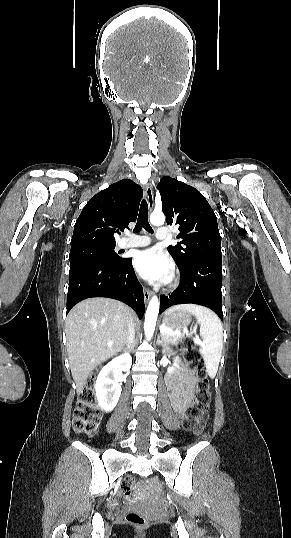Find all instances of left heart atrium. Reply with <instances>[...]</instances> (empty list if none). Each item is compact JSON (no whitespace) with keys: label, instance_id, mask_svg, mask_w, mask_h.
I'll use <instances>...</instances> for the list:
<instances>
[{"label":"left heart atrium","instance_id":"obj_1","mask_svg":"<svg viewBox=\"0 0 291 538\" xmlns=\"http://www.w3.org/2000/svg\"><path fill=\"white\" fill-rule=\"evenodd\" d=\"M133 265L138 274L149 281L166 282L172 275L171 262L156 249L137 252Z\"/></svg>","mask_w":291,"mask_h":538}]
</instances>
